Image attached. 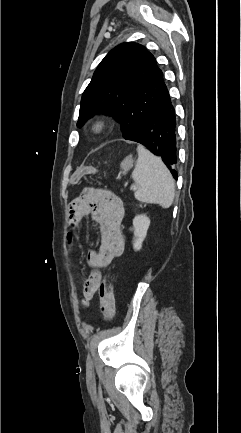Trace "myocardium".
Here are the masks:
<instances>
[{
	"label": "myocardium",
	"mask_w": 241,
	"mask_h": 433,
	"mask_svg": "<svg viewBox=\"0 0 241 433\" xmlns=\"http://www.w3.org/2000/svg\"><path fill=\"white\" fill-rule=\"evenodd\" d=\"M107 121L105 118L99 117L94 119L89 125L91 135L98 137L105 133L107 129Z\"/></svg>",
	"instance_id": "myocardium-1"
}]
</instances>
